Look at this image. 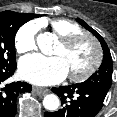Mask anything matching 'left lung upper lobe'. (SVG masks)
<instances>
[{
	"label": "left lung upper lobe",
	"instance_id": "obj_1",
	"mask_svg": "<svg viewBox=\"0 0 117 117\" xmlns=\"http://www.w3.org/2000/svg\"><path fill=\"white\" fill-rule=\"evenodd\" d=\"M77 21L87 30H89L93 35H95L101 43L103 48V62L98 69V71L93 74L88 80L82 82V85L91 87L95 90L102 92L103 94H107L110 89L112 83V57L106 42L103 37L98 34L93 28H91L88 24H86L82 19H77Z\"/></svg>",
	"mask_w": 117,
	"mask_h": 117
}]
</instances>
